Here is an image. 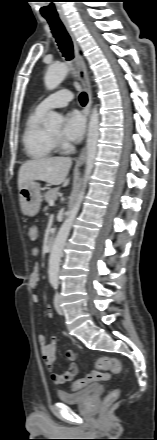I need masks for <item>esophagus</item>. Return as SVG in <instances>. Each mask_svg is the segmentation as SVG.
<instances>
[{
    "instance_id": "1",
    "label": "esophagus",
    "mask_w": 157,
    "mask_h": 440,
    "mask_svg": "<svg viewBox=\"0 0 157 440\" xmlns=\"http://www.w3.org/2000/svg\"><path fill=\"white\" fill-rule=\"evenodd\" d=\"M67 32L69 33L72 42H73V47H74V56H75V62L77 65V69H78V74L80 77V80L82 82L83 87L85 88L87 95H88V103L85 109L86 115L89 116L90 113V109L92 106V91H91V86H90V82H89V78H88V74H87V67H86V63L83 59V57L80 55L79 52V45L78 42L76 40V37L68 23V20L66 18H61ZM86 148H83L78 159L76 160V165L80 166L84 163L85 159H86Z\"/></svg>"
}]
</instances>
